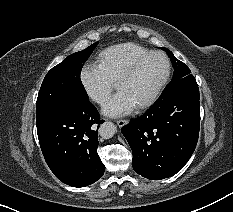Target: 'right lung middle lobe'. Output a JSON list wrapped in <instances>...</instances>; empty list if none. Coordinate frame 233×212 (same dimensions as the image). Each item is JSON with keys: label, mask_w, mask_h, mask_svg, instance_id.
Segmentation results:
<instances>
[{"label": "right lung middle lobe", "mask_w": 233, "mask_h": 212, "mask_svg": "<svg viewBox=\"0 0 233 212\" xmlns=\"http://www.w3.org/2000/svg\"><path fill=\"white\" fill-rule=\"evenodd\" d=\"M97 44L98 42L69 55L47 73L37 98L36 124L42 123L49 116L65 107L89 101L80 80V73L85 61Z\"/></svg>", "instance_id": "dd1d6c3e"}]
</instances>
